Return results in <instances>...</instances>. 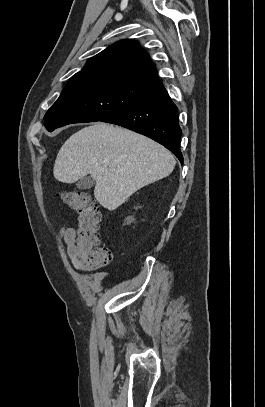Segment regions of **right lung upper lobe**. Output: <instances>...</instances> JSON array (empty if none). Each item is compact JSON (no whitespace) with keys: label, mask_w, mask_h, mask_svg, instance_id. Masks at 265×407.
<instances>
[{"label":"right lung upper lobe","mask_w":265,"mask_h":407,"mask_svg":"<svg viewBox=\"0 0 265 407\" xmlns=\"http://www.w3.org/2000/svg\"><path fill=\"white\" fill-rule=\"evenodd\" d=\"M104 75L159 87L156 67L138 42L121 40L90 58L85 67L74 76Z\"/></svg>","instance_id":"cb5924a9"}]
</instances>
